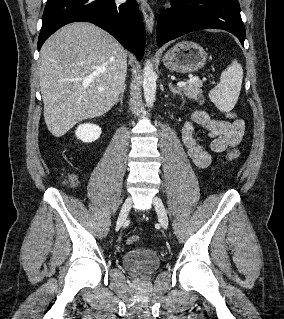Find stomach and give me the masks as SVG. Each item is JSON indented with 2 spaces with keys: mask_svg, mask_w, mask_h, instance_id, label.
Segmentation results:
<instances>
[{
  "mask_svg": "<svg viewBox=\"0 0 284 319\" xmlns=\"http://www.w3.org/2000/svg\"><path fill=\"white\" fill-rule=\"evenodd\" d=\"M207 60V53L197 43L182 41L174 45L163 56V64L170 71L191 73L201 69Z\"/></svg>",
  "mask_w": 284,
  "mask_h": 319,
  "instance_id": "stomach-1",
  "label": "stomach"
}]
</instances>
